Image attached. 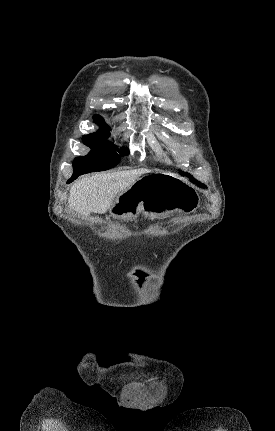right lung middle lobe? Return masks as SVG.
I'll use <instances>...</instances> for the list:
<instances>
[{"instance_id":"right-lung-middle-lobe-1","label":"right lung middle lobe","mask_w":275,"mask_h":431,"mask_svg":"<svg viewBox=\"0 0 275 431\" xmlns=\"http://www.w3.org/2000/svg\"><path fill=\"white\" fill-rule=\"evenodd\" d=\"M99 125L101 126L99 131L83 136L84 144L92 150L88 155L74 159L73 178H77L81 174L108 170L118 165L120 155L125 156L129 154L127 148L116 149L113 144L107 142L106 138L109 136L110 128L104 123Z\"/></svg>"}]
</instances>
